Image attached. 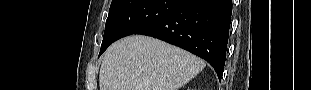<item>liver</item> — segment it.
<instances>
[{
  "label": "liver",
  "mask_w": 311,
  "mask_h": 90,
  "mask_svg": "<svg viewBox=\"0 0 311 90\" xmlns=\"http://www.w3.org/2000/svg\"><path fill=\"white\" fill-rule=\"evenodd\" d=\"M206 64L199 57L148 36L113 43L104 54L100 90H178Z\"/></svg>",
  "instance_id": "liver-1"
}]
</instances>
